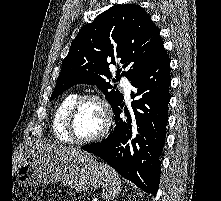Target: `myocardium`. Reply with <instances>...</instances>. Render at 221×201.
I'll return each mask as SVG.
<instances>
[{
	"instance_id": "obj_1",
	"label": "myocardium",
	"mask_w": 221,
	"mask_h": 201,
	"mask_svg": "<svg viewBox=\"0 0 221 201\" xmlns=\"http://www.w3.org/2000/svg\"><path fill=\"white\" fill-rule=\"evenodd\" d=\"M96 101L100 104V106L103 109L104 112V126L102 128V130L95 136L91 137V138H87V139H80L78 137H76L74 130H73V123L76 117V114L78 112V110L80 109V107L87 101ZM113 123V111H112V107L110 105V103L108 102V100L100 95V94H96V93H88L85 95L80 96L75 103L72 105L68 115H67V119H66V131L68 136L70 137L71 141L73 143L76 144H91L94 142H97L99 140H101L102 138H104L108 132L111 129Z\"/></svg>"
}]
</instances>
